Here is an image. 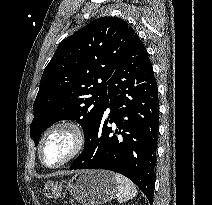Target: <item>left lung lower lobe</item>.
<instances>
[{
  "label": "left lung lower lobe",
  "mask_w": 212,
  "mask_h": 205,
  "mask_svg": "<svg viewBox=\"0 0 212 205\" xmlns=\"http://www.w3.org/2000/svg\"><path fill=\"white\" fill-rule=\"evenodd\" d=\"M108 96L84 150L70 169L118 172L134 182L152 205L159 99L152 64L137 34L108 80ZM112 123L116 127H110Z\"/></svg>",
  "instance_id": "obj_1"
}]
</instances>
